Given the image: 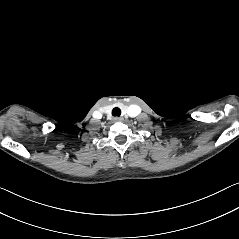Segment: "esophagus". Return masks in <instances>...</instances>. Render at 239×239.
I'll return each mask as SVG.
<instances>
[{
	"label": "esophagus",
	"mask_w": 239,
	"mask_h": 239,
	"mask_svg": "<svg viewBox=\"0 0 239 239\" xmlns=\"http://www.w3.org/2000/svg\"><path fill=\"white\" fill-rule=\"evenodd\" d=\"M114 121L121 122L123 121V117H115Z\"/></svg>",
	"instance_id": "34e87169"
}]
</instances>
